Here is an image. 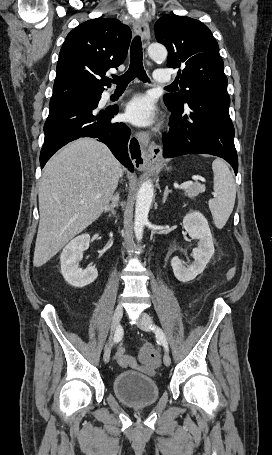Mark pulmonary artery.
Here are the masks:
<instances>
[{"instance_id": "1", "label": "pulmonary artery", "mask_w": 272, "mask_h": 455, "mask_svg": "<svg viewBox=\"0 0 272 455\" xmlns=\"http://www.w3.org/2000/svg\"><path fill=\"white\" fill-rule=\"evenodd\" d=\"M154 80L156 83L165 84L172 82V77L168 71L159 69L154 73ZM110 95L111 93L108 92L105 94V97L108 98Z\"/></svg>"}]
</instances>
